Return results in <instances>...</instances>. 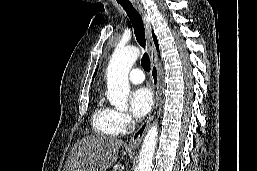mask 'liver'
I'll use <instances>...</instances> for the list:
<instances>
[{
	"mask_svg": "<svg viewBox=\"0 0 257 171\" xmlns=\"http://www.w3.org/2000/svg\"><path fill=\"white\" fill-rule=\"evenodd\" d=\"M122 145L116 137L86 136L74 144L65 171H106L116 162Z\"/></svg>",
	"mask_w": 257,
	"mask_h": 171,
	"instance_id": "1",
	"label": "liver"
}]
</instances>
